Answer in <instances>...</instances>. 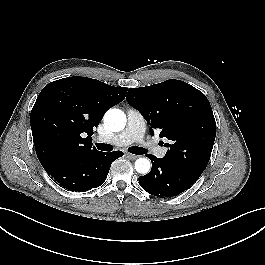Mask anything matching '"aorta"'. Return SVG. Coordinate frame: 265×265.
<instances>
[{
    "label": "aorta",
    "mask_w": 265,
    "mask_h": 265,
    "mask_svg": "<svg viewBox=\"0 0 265 265\" xmlns=\"http://www.w3.org/2000/svg\"><path fill=\"white\" fill-rule=\"evenodd\" d=\"M104 125L113 132H119L126 125V115L120 109H109L104 115ZM151 164L147 158H138L135 161V169L140 174H147L150 171Z\"/></svg>",
    "instance_id": "obj_1"
}]
</instances>
